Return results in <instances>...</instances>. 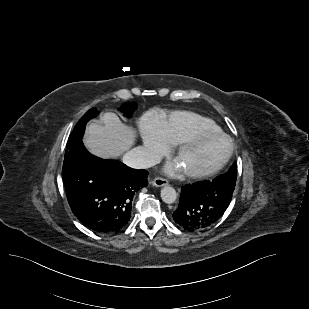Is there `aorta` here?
<instances>
[{
    "instance_id": "obj_1",
    "label": "aorta",
    "mask_w": 309,
    "mask_h": 309,
    "mask_svg": "<svg viewBox=\"0 0 309 309\" xmlns=\"http://www.w3.org/2000/svg\"><path fill=\"white\" fill-rule=\"evenodd\" d=\"M161 199L166 204H172L177 199L176 190L173 187L167 186L161 190Z\"/></svg>"
}]
</instances>
